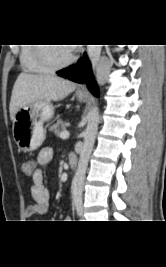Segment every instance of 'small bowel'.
Masks as SVG:
<instances>
[{
    "mask_svg": "<svg viewBox=\"0 0 166 267\" xmlns=\"http://www.w3.org/2000/svg\"><path fill=\"white\" fill-rule=\"evenodd\" d=\"M53 157V150L50 147H45L38 153L36 164L33 171L30 173L32 178L31 196L33 203L26 209V216L33 217L36 215L45 214L50 207V191L44 185L43 172L41 167L48 164ZM70 216H65L64 221L70 220Z\"/></svg>",
    "mask_w": 166,
    "mask_h": 267,
    "instance_id": "small-bowel-1",
    "label": "small bowel"
}]
</instances>
